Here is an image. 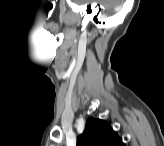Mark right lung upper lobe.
<instances>
[{"label": "right lung upper lobe", "instance_id": "1", "mask_svg": "<svg viewBox=\"0 0 164 146\" xmlns=\"http://www.w3.org/2000/svg\"><path fill=\"white\" fill-rule=\"evenodd\" d=\"M77 146H124V143L106 121L89 118L85 131L77 138Z\"/></svg>", "mask_w": 164, "mask_h": 146}]
</instances>
